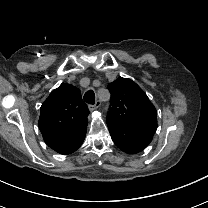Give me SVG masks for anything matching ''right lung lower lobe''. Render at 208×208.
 <instances>
[{"label":"right lung lower lobe","instance_id":"obj_1","mask_svg":"<svg viewBox=\"0 0 208 208\" xmlns=\"http://www.w3.org/2000/svg\"><path fill=\"white\" fill-rule=\"evenodd\" d=\"M86 131L87 128L67 140L56 142L48 146L60 154L66 155L73 153L82 145L85 139Z\"/></svg>","mask_w":208,"mask_h":208}]
</instances>
